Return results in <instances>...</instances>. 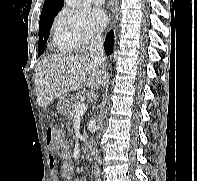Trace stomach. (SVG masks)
Instances as JSON below:
<instances>
[{"mask_svg": "<svg viewBox=\"0 0 197 181\" xmlns=\"http://www.w3.org/2000/svg\"><path fill=\"white\" fill-rule=\"evenodd\" d=\"M71 106H72V99L67 95H63L59 99L57 111L62 115H67L70 112Z\"/></svg>", "mask_w": 197, "mask_h": 181, "instance_id": "1", "label": "stomach"}]
</instances>
